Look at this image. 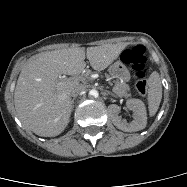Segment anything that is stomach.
I'll return each mask as SVG.
<instances>
[{"label": "stomach", "instance_id": "1", "mask_svg": "<svg viewBox=\"0 0 187 187\" xmlns=\"http://www.w3.org/2000/svg\"><path fill=\"white\" fill-rule=\"evenodd\" d=\"M110 75L120 81H129L130 72L122 61H117L109 68Z\"/></svg>", "mask_w": 187, "mask_h": 187}]
</instances>
